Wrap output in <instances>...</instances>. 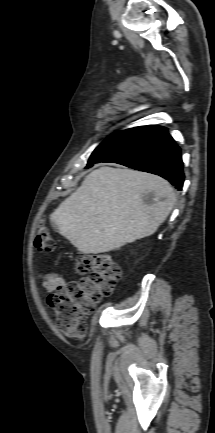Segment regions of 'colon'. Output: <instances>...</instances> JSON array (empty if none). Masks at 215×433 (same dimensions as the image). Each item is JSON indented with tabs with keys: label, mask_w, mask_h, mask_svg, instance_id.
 Returning a JSON list of instances; mask_svg holds the SVG:
<instances>
[{
	"label": "colon",
	"mask_w": 215,
	"mask_h": 433,
	"mask_svg": "<svg viewBox=\"0 0 215 433\" xmlns=\"http://www.w3.org/2000/svg\"><path fill=\"white\" fill-rule=\"evenodd\" d=\"M34 244L42 252L55 250V241L43 220L36 227ZM75 271L82 278L53 291L48 297V304L63 333L83 337L87 331V318L94 312L97 303L111 294L121 271L106 252L79 255Z\"/></svg>",
	"instance_id": "5ec220e1"
}]
</instances>
